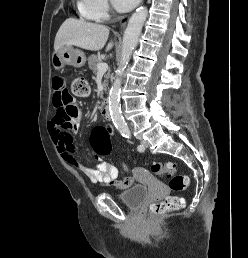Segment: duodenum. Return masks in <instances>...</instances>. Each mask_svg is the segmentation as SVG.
Listing matches in <instances>:
<instances>
[{"label": "duodenum", "mask_w": 248, "mask_h": 258, "mask_svg": "<svg viewBox=\"0 0 248 258\" xmlns=\"http://www.w3.org/2000/svg\"><path fill=\"white\" fill-rule=\"evenodd\" d=\"M102 113L107 120L111 118L109 101L107 99L103 102Z\"/></svg>", "instance_id": "1"}]
</instances>
